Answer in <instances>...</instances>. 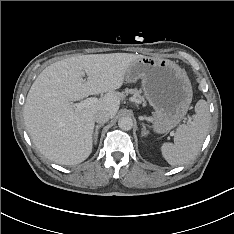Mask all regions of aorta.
Returning a JSON list of instances; mask_svg holds the SVG:
<instances>
[{"label":"aorta","mask_w":234,"mask_h":234,"mask_svg":"<svg viewBox=\"0 0 234 234\" xmlns=\"http://www.w3.org/2000/svg\"><path fill=\"white\" fill-rule=\"evenodd\" d=\"M118 126L125 131L131 130L133 127V120L129 116H122L118 121Z\"/></svg>","instance_id":"aorta-1"}]
</instances>
